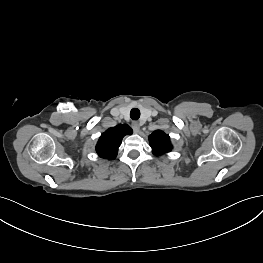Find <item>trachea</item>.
I'll return each instance as SVG.
<instances>
[{
	"mask_svg": "<svg viewBox=\"0 0 263 263\" xmlns=\"http://www.w3.org/2000/svg\"><path fill=\"white\" fill-rule=\"evenodd\" d=\"M130 117L132 120H138L140 117V110L138 108H133L130 111Z\"/></svg>",
	"mask_w": 263,
	"mask_h": 263,
	"instance_id": "obj_1",
	"label": "trachea"
}]
</instances>
